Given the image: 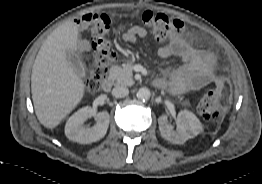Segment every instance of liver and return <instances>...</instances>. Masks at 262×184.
I'll return each instance as SVG.
<instances>
[{
    "label": "liver",
    "mask_w": 262,
    "mask_h": 184,
    "mask_svg": "<svg viewBox=\"0 0 262 184\" xmlns=\"http://www.w3.org/2000/svg\"><path fill=\"white\" fill-rule=\"evenodd\" d=\"M79 30L73 21L57 27L42 44L32 68L31 91L39 122L53 129L80 103L85 85L67 55L78 48Z\"/></svg>",
    "instance_id": "6515ba94"
}]
</instances>
